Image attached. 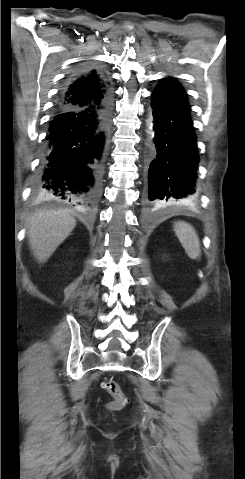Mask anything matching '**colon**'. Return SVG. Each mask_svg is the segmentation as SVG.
<instances>
[{"label":"colon","mask_w":245,"mask_h":479,"mask_svg":"<svg viewBox=\"0 0 245 479\" xmlns=\"http://www.w3.org/2000/svg\"><path fill=\"white\" fill-rule=\"evenodd\" d=\"M106 391L114 397V400L109 403L108 407L110 410H120L127 403V398L123 394L119 384L112 379H107L103 383Z\"/></svg>","instance_id":"obj_1"}]
</instances>
